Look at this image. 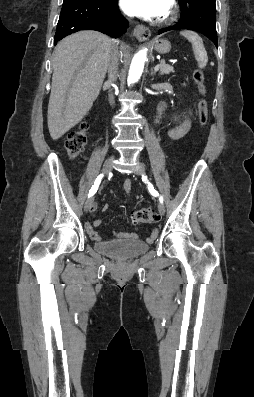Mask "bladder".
<instances>
[{
  "label": "bladder",
  "instance_id": "31cf9c89",
  "mask_svg": "<svg viewBox=\"0 0 254 397\" xmlns=\"http://www.w3.org/2000/svg\"><path fill=\"white\" fill-rule=\"evenodd\" d=\"M95 249L109 257L125 260L143 254L149 245L139 239H126L119 241L97 242Z\"/></svg>",
  "mask_w": 254,
  "mask_h": 397
}]
</instances>
